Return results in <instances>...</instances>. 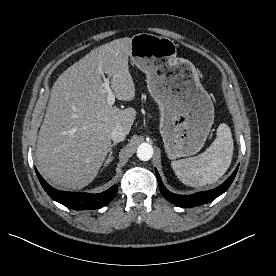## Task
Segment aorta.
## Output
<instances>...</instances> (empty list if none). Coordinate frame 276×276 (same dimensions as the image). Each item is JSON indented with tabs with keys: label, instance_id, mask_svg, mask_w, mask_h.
<instances>
[{
	"label": "aorta",
	"instance_id": "762f6f07",
	"mask_svg": "<svg viewBox=\"0 0 276 276\" xmlns=\"http://www.w3.org/2000/svg\"><path fill=\"white\" fill-rule=\"evenodd\" d=\"M153 156V148L148 143H142L137 149V157L142 161H148Z\"/></svg>",
	"mask_w": 276,
	"mask_h": 276
}]
</instances>
